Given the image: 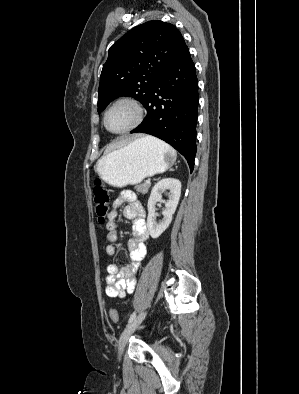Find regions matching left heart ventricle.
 <instances>
[{"label":"left heart ventricle","instance_id":"left-heart-ventricle-1","mask_svg":"<svg viewBox=\"0 0 299 394\" xmlns=\"http://www.w3.org/2000/svg\"><path fill=\"white\" fill-rule=\"evenodd\" d=\"M133 120V108L127 104H120L108 113L107 126L112 131H120L128 127Z\"/></svg>","mask_w":299,"mask_h":394}]
</instances>
